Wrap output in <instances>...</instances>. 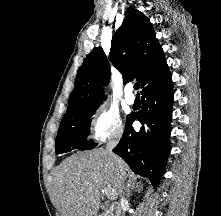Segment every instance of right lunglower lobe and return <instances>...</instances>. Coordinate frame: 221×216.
Here are the masks:
<instances>
[{
  "label": "right lung lower lobe",
  "instance_id": "obj_1",
  "mask_svg": "<svg viewBox=\"0 0 221 216\" xmlns=\"http://www.w3.org/2000/svg\"><path fill=\"white\" fill-rule=\"evenodd\" d=\"M142 100L138 114L141 129L136 132L132 128L136 115L128 116L123 136L113 152L136 174L148 177L156 188L170 152L173 82L169 69L143 89Z\"/></svg>",
  "mask_w": 221,
  "mask_h": 216
}]
</instances>
